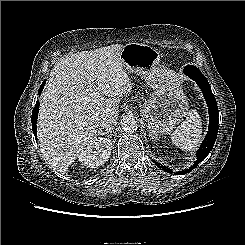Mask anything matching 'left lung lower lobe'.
Masks as SVG:
<instances>
[{"label":"left lung lower lobe","instance_id":"left-lung-lower-lobe-1","mask_svg":"<svg viewBox=\"0 0 245 245\" xmlns=\"http://www.w3.org/2000/svg\"><path fill=\"white\" fill-rule=\"evenodd\" d=\"M184 73L189 76L192 80H194L197 85L200 87L201 91L203 92L204 98L206 100V104L209 110V128L207 135L202 142L200 148L196 154V161L194 164L186 170H182L176 172V174L182 175L192 171L204 158L210 153L212 150L214 143L216 141L217 133H218V122H219V115H218V107L215 100V97L211 91V87L205 78V76L201 73V71L196 68L195 66L188 65L184 68ZM157 167L161 168L162 170L171 173L172 170L168 167L153 161Z\"/></svg>","mask_w":245,"mask_h":245}]
</instances>
